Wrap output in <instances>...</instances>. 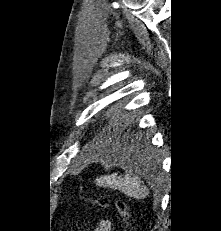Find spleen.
<instances>
[{"mask_svg":"<svg viewBox=\"0 0 221 231\" xmlns=\"http://www.w3.org/2000/svg\"><path fill=\"white\" fill-rule=\"evenodd\" d=\"M98 184L118 189L125 195L135 199L146 198L149 194V190L144 185V182L138 176H132L131 173L124 177L120 175L118 176L117 174H111L110 176L99 179Z\"/></svg>","mask_w":221,"mask_h":231,"instance_id":"3e777b00","label":"spleen"}]
</instances>
